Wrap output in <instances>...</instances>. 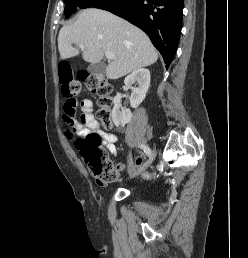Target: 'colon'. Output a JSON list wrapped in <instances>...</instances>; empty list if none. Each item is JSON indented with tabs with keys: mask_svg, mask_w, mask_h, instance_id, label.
I'll use <instances>...</instances> for the list:
<instances>
[{
	"mask_svg": "<svg viewBox=\"0 0 248 258\" xmlns=\"http://www.w3.org/2000/svg\"><path fill=\"white\" fill-rule=\"evenodd\" d=\"M59 69L65 98L63 116L66 122H71L74 118L76 97L80 93L81 84H84L89 91L98 96L97 118L106 129H109L112 126V99L110 97L112 86L107 79L100 75L81 72L74 80L70 66L66 62L60 63ZM67 133L72 135L76 133V129L73 126H68ZM74 143L97 180H101L102 183H111L116 180L117 169L106 157L102 148V138L98 133L89 132L81 135L75 139ZM128 166H130L129 173L139 175V179L152 180L151 174H143L145 167L143 159L139 155H134L131 161H128Z\"/></svg>",
	"mask_w": 248,
	"mask_h": 258,
	"instance_id": "obj_1",
	"label": "colon"
}]
</instances>
